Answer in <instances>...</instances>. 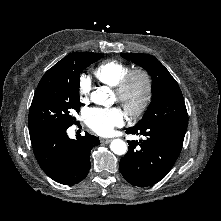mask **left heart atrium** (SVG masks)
I'll list each match as a JSON object with an SVG mask.
<instances>
[{
  "mask_svg": "<svg viewBox=\"0 0 221 221\" xmlns=\"http://www.w3.org/2000/svg\"><path fill=\"white\" fill-rule=\"evenodd\" d=\"M87 126L95 133L106 136L113 132L115 127L121 126L124 116L120 108H89L84 114Z\"/></svg>",
  "mask_w": 221,
  "mask_h": 221,
  "instance_id": "obj_1",
  "label": "left heart atrium"
}]
</instances>
